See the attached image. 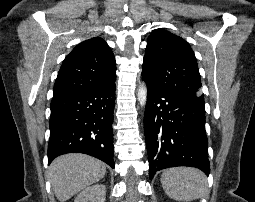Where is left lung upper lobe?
<instances>
[{"instance_id": "left-lung-upper-lobe-1", "label": "left lung upper lobe", "mask_w": 255, "mask_h": 202, "mask_svg": "<svg viewBox=\"0 0 255 202\" xmlns=\"http://www.w3.org/2000/svg\"><path fill=\"white\" fill-rule=\"evenodd\" d=\"M142 77L164 91L204 100L194 52L183 38L166 30L157 29L150 34Z\"/></svg>"}]
</instances>
